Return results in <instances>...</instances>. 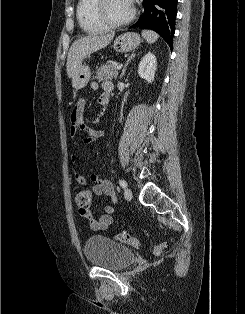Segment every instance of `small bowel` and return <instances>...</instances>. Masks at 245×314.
Listing matches in <instances>:
<instances>
[{
    "label": "small bowel",
    "mask_w": 245,
    "mask_h": 314,
    "mask_svg": "<svg viewBox=\"0 0 245 314\" xmlns=\"http://www.w3.org/2000/svg\"><path fill=\"white\" fill-rule=\"evenodd\" d=\"M91 87L93 89L102 88V93L98 97V102L101 105H105L109 102L110 92L112 90V86L108 82H104L99 84L98 82H92ZM108 98V99H106ZM84 107L85 100L81 99L77 102V104L72 109L70 114V135L72 138H75L80 131H85L87 134L83 137V142L89 143L95 141L96 139L103 136V131L93 129L88 127L84 122ZM73 164L75 165L73 169V180L76 184L80 186H84L87 183L86 177L78 170L77 164V156L73 155L72 159ZM91 181L93 182L91 193L96 196L107 195L111 198V202L113 205L118 203V198L115 194L114 187L112 183L107 180L99 177L98 175L92 174L90 176ZM113 205L104 206V214L98 218H94L92 212L89 210L85 214H81V216L89 221L90 229L93 231H107L110 225L113 222L112 215L115 212V208Z\"/></svg>",
    "instance_id": "obj_1"
}]
</instances>
